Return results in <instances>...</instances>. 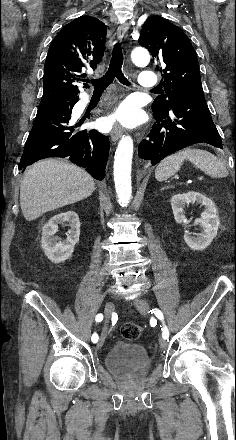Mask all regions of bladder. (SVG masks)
<instances>
[{"label":"bladder","mask_w":236,"mask_h":440,"mask_svg":"<svg viewBox=\"0 0 236 440\" xmlns=\"http://www.w3.org/2000/svg\"><path fill=\"white\" fill-rule=\"evenodd\" d=\"M105 365L109 372L122 374L131 368L146 370L150 365V358L143 345L119 340L107 352Z\"/></svg>","instance_id":"bladder-1"}]
</instances>
